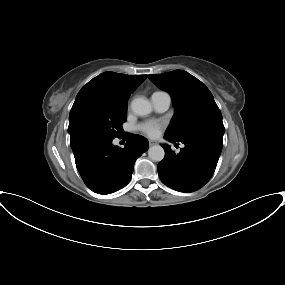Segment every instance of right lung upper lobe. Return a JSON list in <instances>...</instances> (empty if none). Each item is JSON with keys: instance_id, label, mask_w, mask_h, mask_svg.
Returning <instances> with one entry per match:
<instances>
[{"instance_id": "right-lung-upper-lobe-1", "label": "right lung upper lobe", "mask_w": 285, "mask_h": 285, "mask_svg": "<svg viewBox=\"0 0 285 285\" xmlns=\"http://www.w3.org/2000/svg\"><path fill=\"white\" fill-rule=\"evenodd\" d=\"M147 75H125L104 72L90 80L79 91L70 115L84 104L109 105L127 108L130 94L146 79Z\"/></svg>"}]
</instances>
